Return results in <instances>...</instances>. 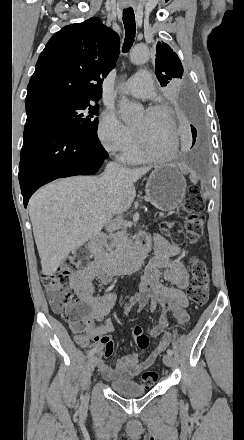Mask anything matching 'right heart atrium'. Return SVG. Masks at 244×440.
I'll use <instances>...</instances> for the list:
<instances>
[{"mask_svg": "<svg viewBox=\"0 0 244 440\" xmlns=\"http://www.w3.org/2000/svg\"><path fill=\"white\" fill-rule=\"evenodd\" d=\"M97 135L104 148L111 154L132 150L139 138L136 129L124 124L111 109L102 112Z\"/></svg>", "mask_w": 244, "mask_h": 440, "instance_id": "obj_1", "label": "right heart atrium"}]
</instances>
